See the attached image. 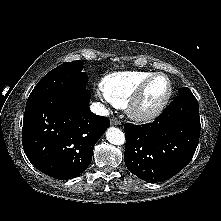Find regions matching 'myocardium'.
Returning a JSON list of instances; mask_svg holds the SVG:
<instances>
[{
	"mask_svg": "<svg viewBox=\"0 0 221 221\" xmlns=\"http://www.w3.org/2000/svg\"><path fill=\"white\" fill-rule=\"evenodd\" d=\"M157 77H164L167 80L168 82L167 94L156 107L150 110H143L141 105L145 97V93L149 85L152 83V81ZM172 95H173V83L169 78V76L161 72L153 73L140 83L134 94L131 96V98L129 99L126 105V113L130 119L136 122L142 123V122L151 121L156 117H158L164 111Z\"/></svg>",
	"mask_w": 221,
	"mask_h": 221,
	"instance_id": "f54148a6",
	"label": "myocardium"
}]
</instances>
